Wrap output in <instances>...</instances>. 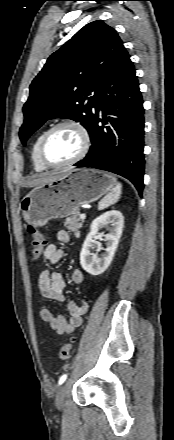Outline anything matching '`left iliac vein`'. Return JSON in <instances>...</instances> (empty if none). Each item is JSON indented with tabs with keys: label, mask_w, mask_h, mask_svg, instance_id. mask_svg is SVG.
I'll use <instances>...</instances> for the list:
<instances>
[{
	"label": "left iliac vein",
	"mask_w": 174,
	"mask_h": 440,
	"mask_svg": "<svg viewBox=\"0 0 174 440\" xmlns=\"http://www.w3.org/2000/svg\"><path fill=\"white\" fill-rule=\"evenodd\" d=\"M68 383H64L62 386H60L56 392L55 396V406L57 409L62 410L65 405V397L68 391Z\"/></svg>",
	"instance_id": "obj_1"
}]
</instances>
